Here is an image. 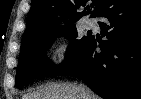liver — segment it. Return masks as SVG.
I'll return each instance as SVG.
<instances>
[{
  "instance_id": "obj_1",
  "label": "liver",
  "mask_w": 141,
  "mask_h": 99,
  "mask_svg": "<svg viewBox=\"0 0 141 99\" xmlns=\"http://www.w3.org/2000/svg\"><path fill=\"white\" fill-rule=\"evenodd\" d=\"M90 99H100L99 96L91 92ZM86 96L76 84L57 83L47 84L36 91L28 93L22 99H86Z\"/></svg>"
}]
</instances>
